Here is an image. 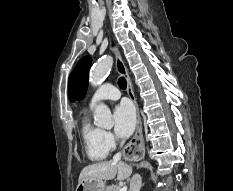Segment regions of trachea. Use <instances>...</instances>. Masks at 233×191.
<instances>
[{
	"label": "trachea",
	"mask_w": 233,
	"mask_h": 191,
	"mask_svg": "<svg viewBox=\"0 0 233 191\" xmlns=\"http://www.w3.org/2000/svg\"><path fill=\"white\" fill-rule=\"evenodd\" d=\"M118 85L121 89H126L127 87L126 79L124 77H120L118 80Z\"/></svg>",
	"instance_id": "obj_1"
}]
</instances>
